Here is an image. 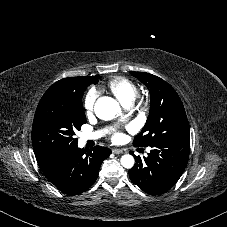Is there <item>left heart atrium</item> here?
<instances>
[{
	"instance_id": "1",
	"label": "left heart atrium",
	"mask_w": 227,
	"mask_h": 227,
	"mask_svg": "<svg viewBox=\"0 0 227 227\" xmlns=\"http://www.w3.org/2000/svg\"><path fill=\"white\" fill-rule=\"evenodd\" d=\"M123 138H124L123 133H121V132H116V133L113 135L112 140H113L114 142H120Z\"/></svg>"
}]
</instances>
